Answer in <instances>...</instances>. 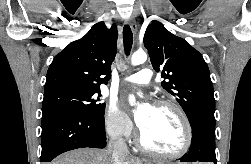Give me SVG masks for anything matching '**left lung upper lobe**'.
I'll return each instance as SVG.
<instances>
[{
    "label": "left lung upper lobe",
    "instance_id": "obj_1",
    "mask_svg": "<svg viewBox=\"0 0 251 164\" xmlns=\"http://www.w3.org/2000/svg\"><path fill=\"white\" fill-rule=\"evenodd\" d=\"M144 46L153 68L162 70L163 88L176 98L190 124L203 117L215 121L213 85L202 55L157 21L147 27Z\"/></svg>",
    "mask_w": 251,
    "mask_h": 164
}]
</instances>
